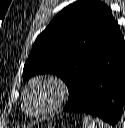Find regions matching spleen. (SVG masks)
I'll return each mask as SVG.
<instances>
[{"mask_svg": "<svg viewBox=\"0 0 125 128\" xmlns=\"http://www.w3.org/2000/svg\"><path fill=\"white\" fill-rule=\"evenodd\" d=\"M83 128H110V126L100 119L86 115L83 119Z\"/></svg>", "mask_w": 125, "mask_h": 128, "instance_id": "1", "label": "spleen"}]
</instances>
